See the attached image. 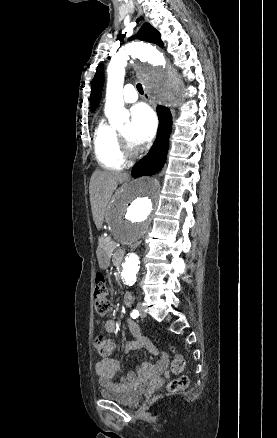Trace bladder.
<instances>
[{"label":"bladder","mask_w":277,"mask_h":438,"mask_svg":"<svg viewBox=\"0 0 277 438\" xmlns=\"http://www.w3.org/2000/svg\"><path fill=\"white\" fill-rule=\"evenodd\" d=\"M98 393L100 397L107 401L114 402L118 405L133 407L139 403L143 395V389L134 388L125 392H119L109 388H101Z\"/></svg>","instance_id":"31cf9c89"}]
</instances>
